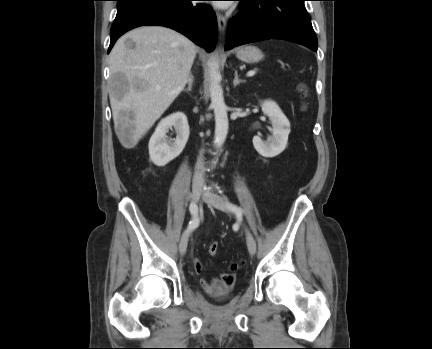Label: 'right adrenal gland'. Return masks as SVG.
<instances>
[{"instance_id": "right-adrenal-gland-1", "label": "right adrenal gland", "mask_w": 432, "mask_h": 349, "mask_svg": "<svg viewBox=\"0 0 432 349\" xmlns=\"http://www.w3.org/2000/svg\"><path fill=\"white\" fill-rule=\"evenodd\" d=\"M193 82H194V77L190 73L188 80H187L188 87L186 89H184V91H189V92L192 91Z\"/></svg>"}]
</instances>
